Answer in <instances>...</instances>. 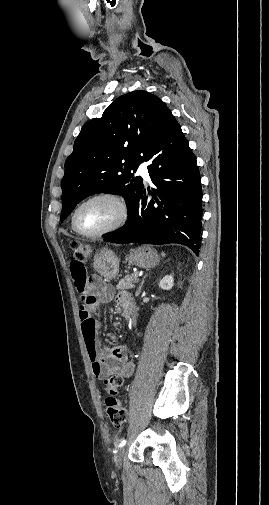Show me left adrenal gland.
Listing matches in <instances>:
<instances>
[{
  "label": "left adrenal gland",
  "instance_id": "a2214340",
  "mask_svg": "<svg viewBox=\"0 0 269 505\" xmlns=\"http://www.w3.org/2000/svg\"><path fill=\"white\" fill-rule=\"evenodd\" d=\"M144 279H145V276L142 278V281L136 291V296H138L140 293H141V290H142V287H143V284H144Z\"/></svg>",
  "mask_w": 269,
  "mask_h": 505
}]
</instances>
